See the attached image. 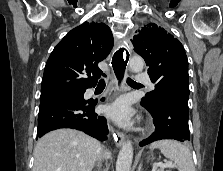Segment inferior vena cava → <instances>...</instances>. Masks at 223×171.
<instances>
[{"mask_svg": "<svg viewBox=\"0 0 223 171\" xmlns=\"http://www.w3.org/2000/svg\"><path fill=\"white\" fill-rule=\"evenodd\" d=\"M99 150H100V153H99V155H98L97 160L100 162L101 159H102V157H103V156H102V147H100Z\"/></svg>", "mask_w": 223, "mask_h": 171, "instance_id": "inferior-vena-cava-1", "label": "inferior vena cava"}]
</instances>
